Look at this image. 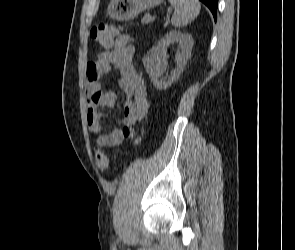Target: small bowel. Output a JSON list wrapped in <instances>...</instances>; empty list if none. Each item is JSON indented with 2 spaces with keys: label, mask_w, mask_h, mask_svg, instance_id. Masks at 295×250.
<instances>
[{
  "label": "small bowel",
  "mask_w": 295,
  "mask_h": 250,
  "mask_svg": "<svg viewBox=\"0 0 295 250\" xmlns=\"http://www.w3.org/2000/svg\"><path fill=\"white\" fill-rule=\"evenodd\" d=\"M111 69L119 72L118 83L127 95L122 127L104 132V115L100 109H108L116 102V93L103 91L100 83L102 74ZM87 123L95 136L96 147H113L125 139L136 136L138 126L147 116L149 101L143 77L138 73L134 61V48L130 35H121L113 49L102 52L96 60L90 61L86 68Z\"/></svg>",
  "instance_id": "1"
}]
</instances>
